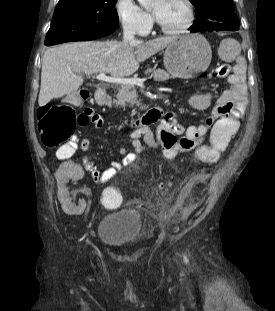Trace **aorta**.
I'll return each instance as SVG.
<instances>
[{
	"mask_svg": "<svg viewBox=\"0 0 275 311\" xmlns=\"http://www.w3.org/2000/svg\"><path fill=\"white\" fill-rule=\"evenodd\" d=\"M139 4L143 7L150 6L154 0H138Z\"/></svg>",
	"mask_w": 275,
	"mask_h": 311,
	"instance_id": "1",
	"label": "aorta"
}]
</instances>
